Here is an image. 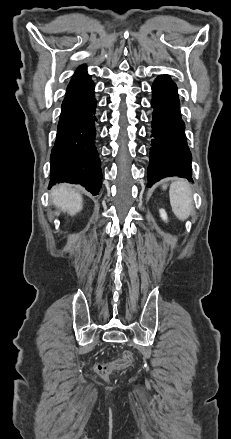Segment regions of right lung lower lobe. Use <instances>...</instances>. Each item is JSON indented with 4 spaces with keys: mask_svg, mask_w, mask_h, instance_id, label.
<instances>
[{
    "mask_svg": "<svg viewBox=\"0 0 231 439\" xmlns=\"http://www.w3.org/2000/svg\"><path fill=\"white\" fill-rule=\"evenodd\" d=\"M95 108L94 84L90 77L67 88L50 157V187L69 182L83 185L93 195L99 193L102 171L94 144Z\"/></svg>",
    "mask_w": 231,
    "mask_h": 439,
    "instance_id": "right-lung-lower-lobe-1",
    "label": "right lung lower lobe"
}]
</instances>
